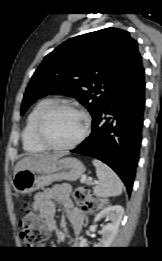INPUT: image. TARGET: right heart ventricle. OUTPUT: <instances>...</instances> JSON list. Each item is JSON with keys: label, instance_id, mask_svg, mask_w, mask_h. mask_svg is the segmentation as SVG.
I'll return each mask as SVG.
<instances>
[{"label": "right heart ventricle", "instance_id": "right-heart-ventricle-1", "mask_svg": "<svg viewBox=\"0 0 162 261\" xmlns=\"http://www.w3.org/2000/svg\"><path fill=\"white\" fill-rule=\"evenodd\" d=\"M52 103L53 100L49 98L40 100L30 111L26 119L25 127L22 132V141L24 150L28 153L37 154L46 151V149L38 143L35 130L40 114Z\"/></svg>", "mask_w": 162, "mask_h": 261}]
</instances>
